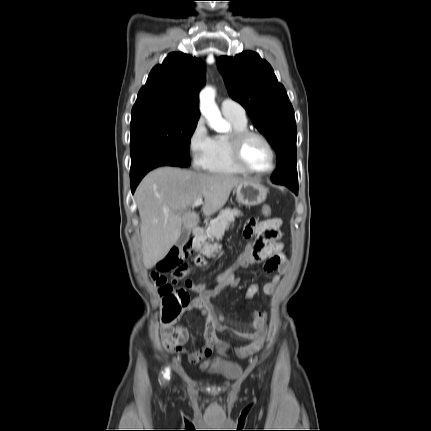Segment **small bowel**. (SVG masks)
<instances>
[{
  "instance_id": "c3829d8e",
  "label": "small bowel",
  "mask_w": 431,
  "mask_h": 431,
  "mask_svg": "<svg viewBox=\"0 0 431 431\" xmlns=\"http://www.w3.org/2000/svg\"><path fill=\"white\" fill-rule=\"evenodd\" d=\"M281 225L282 221L279 218H273L265 221H258L251 219L248 221L244 228V237L254 238L252 241V257L244 261V267L247 268L257 264H263V269L266 273L280 272L285 263L286 257L284 254V244L281 242ZM231 268L228 265L223 266V271L219 270L215 274L214 286L217 287V283L223 285L224 289L230 287H236L240 283V279L237 276V272H234V276H231ZM230 277L229 283L225 284V279ZM278 277L266 283L262 287V291L270 295L274 292ZM186 286L193 292L198 293V296L209 297L211 289H208V285L205 282L193 283L192 281H186ZM213 286V287H214ZM219 289V288H217ZM259 290L257 284H251L247 287L245 297L251 299ZM215 298H217L221 292L217 290L215 292ZM197 296V297H198ZM197 297L193 298L190 302L197 301ZM214 298V299H215ZM194 309H197L196 307ZM205 320V344L195 352H187L184 349V344L188 341L189 334L188 330L177 324V320L174 319L167 322L161 327V337L163 346L171 353L182 352L186 353L189 360L192 362H199L204 360L202 367L218 366L227 356L229 352L235 353L239 357H246L256 353L261 349L264 344L266 335V319L267 315L262 311H253L251 313L253 322L250 324H240L224 317L212 302L207 308H200ZM232 327L238 328L237 331L231 330ZM232 331L236 338L242 340H248L249 344L243 347H235L220 340L217 336L219 332ZM216 350L220 357L211 358L212 352Z\"/></svg>"
}]
</instances>
